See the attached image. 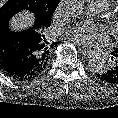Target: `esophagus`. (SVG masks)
Here are the masks:
<instances>
[{
  "label": "esophagus",
  "instance_id": "esophagus-1",
  "mask_svg": "<svg viewBox=\"0 0 118 118\" xmlns=\"http://www.w3.org/2000/svg\"><path fill=\"white\" fill-rule=\"evenodd\" d=\"M81 52L87 57H92L93 56L89 51H87L85 49H81Z\"/></svg>",
  "mask_w": 118,
  "mask_h": 118
}]
</instances>
